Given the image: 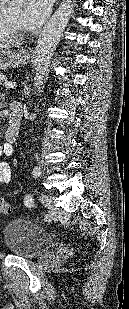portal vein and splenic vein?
<instances>
[{
    "label": "portal vein and splenic vein",
    "mask_w": 129,
    "mask_h": 309,
    "mask_svg": "<svg viewBox=\"0 0 129 309\" xmlns=\"http://www.w3.org/2000/svg\"><path fill=\"white\" fill-rule=\"evenodd\" d=\"M7 87H11L12 86V83H10V82H6V84H5Z\"/></svg>",
    "instance_id": "18ae733b"
}]
</instances>
